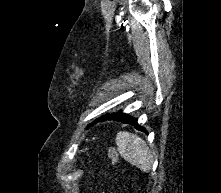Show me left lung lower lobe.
Wrapping results in <instances>:
<instances>
[{
  "instance_id": "left-lung-lower-lobe-1",
  "label": "left lung lower lobe",
  "mask_w": 221,
  "mask_h": 193,
  "mask_svg": "<svg viewBox=\"0 0 221 193\" xmlns=\"http://www.w3.org/2000/svg\"><path fill=\"white\" fill-rule=\"evenodd\" d=\"M104 120L120 121L122 123L134 125L138 130L145 131V129L142 126L138 125L136 118H133L130 115L123 113L122 111L108 114L99 119V121H104Z\"/></svg>"
}]
</instances>
